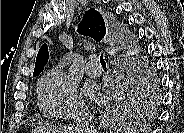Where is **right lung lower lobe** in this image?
<instances>
[{
    "instance_id": "1",
    "label": "right lung lower lobe",
    "mask_w": 184,
    "mask_h": 133,
    "mask_svg": "<svg viewBox=\"0 0 184 133\" xmlns=\"http://www.w3.org/2000/svg\"><path fill=\"white\" fill-rule=\"evenodd\" d=\"M118 40L121 48V53H123L125 58H127L126 63H128V60L130 59V55L132 54V49H131L130 43L128 42L129 39H127L125 35L124 27L122 26L118 27Z\"/></svg>"
}]
</instances>
